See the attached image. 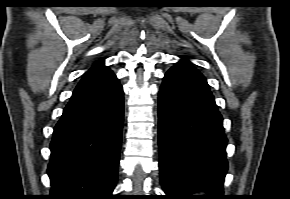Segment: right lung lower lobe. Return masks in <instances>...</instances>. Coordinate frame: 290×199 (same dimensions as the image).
<instances>
[{
  "label": "right lung lower lobe",
  "mask_w": 290,
  "mask_h": 199,
  "mask_svg": "<svg viewBox=\"0 0 290 199\" xmlns=\"http://www.w3.org/2000/svg\"><path fill=\"white\" fill-rule=\"evenodd\" d=\"M123 113V90L117 78L72 95L50 144L49 199H112Z\"/></svg>",
  "instance_id": "right-lung-lower-lobe-1"
}]
</instances>
